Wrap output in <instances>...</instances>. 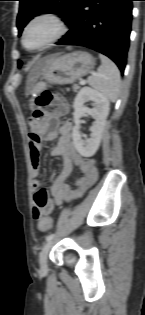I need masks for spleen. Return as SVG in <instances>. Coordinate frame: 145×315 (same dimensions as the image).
I'll use <instances>...</instances> for the list:
<instances>
[{
    "label": "spleen",
    "instance_id": "3e777b00",
    "mask_svg": "<svg viewBox=\"0 0 145 315\" xmlns=\"http://www.w3.org/2000/svg\"><path fill=\"white\" fill-rule=\"evenodd\" d=\"M101 65L97 74L88 78V84L103 94L109 101H116L121 88V78L118 67L104 55H99Z\"/></svg>",
    "mask_w": 145,
    "mask_h": 315
}]
</instances>
